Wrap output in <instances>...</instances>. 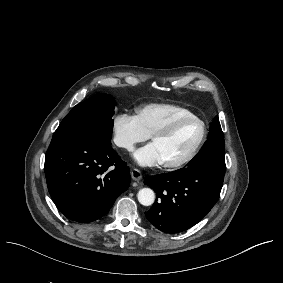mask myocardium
Listing matches in <instances>:
<instances>
[{
	"label": "myocardium",
	"mask_w": 283,
	"mask_h": 283,
	"mask_svg": "<svg viewBox=\"0 0 283 283\" xmlns=\"http://www.w3.org/2000/svg\"><path fill=\"white\" fill-rule=\"evenodd\" d=\"M187 121H197L201 124L200 137L197 140L194 147L192 148V150L189 152V154L186 157H184L182 160L177 161V162H165V165L168 168H171V169L183 168L184 166L188 165L190 162H192L194 160V158L200 152L201 148L203 147V145L206 141L207 133H208L207 125H206L205 121L202 118H200L199 116H196L194 114L183 115V116L176 118L166 128L155 133L152 136L153 140L158 139V138H169L175 133V131L178 128L179 125H181L182 123L187 122Z\"/></svg>",
	"instance_id": "1"
}]
</instances>
